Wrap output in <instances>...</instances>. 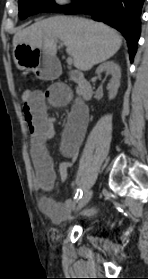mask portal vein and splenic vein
I'll return each instance as SVG.
<instances>
[{
	"label": "portal vein and splenic vein",
	"instance_id": "portal-vein-and-splenic-vein-1",
	"mask_svg": "<svg viewBox=\"0 0 148 279\" xmlns=\"http://www.w3.org/2000/svg\"><path fill=\"white\" fill-rule=\"evenodd\" d=\"M60 46H62L61 43H60ZM67 63H68L69 65H71V64L73 63V59H72L71 57H68V58H67Z\"/></svg>",
	"mask_w": 148,
	"mask_h": 279
}]
</instances>
